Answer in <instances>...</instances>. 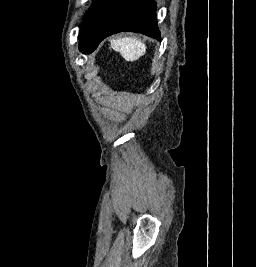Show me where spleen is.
I'll list each match as a JSON object with an SVG mask.
<instances>
[{"instance_id": "1", "label": "spleen", "mask_w": 256, "mask_h": 267, "mask_svg": "<svg viewBox=\"0 0 256 267\" xmlns=\"http://www.w3.org/2000/svg\"><path fill=\"white\" fill-rule=\"evenodd\" d=\"M110 42L112 48L116 52H120L126 62H136L146 52L145 44L138 38H118V40H110Z\"/></svg>"}]
</instances>
